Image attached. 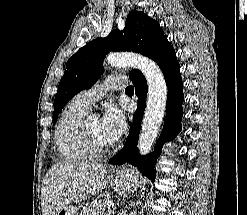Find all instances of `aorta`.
Here are the masks:
<instances>
[{
	"label": "aorta",
	"mask_w": 247,
	"mask_h": 215,
	"mask_svg": "<svg viewBox=\"0 0 247 215\" xmlns=\"http://www.w3.org/2000/svg\"><path fill=\"white\" fill-rule=\"evenodd\" d=\"M106 60L114 67L139 69L147 80L148 98L137 146L139 153L146 155L157 139L165 114L168 90L164 76L153 60L142 55L111 53Z\"/></svg>",
	"instance_id": "aorta-1"
}]
</instances>
